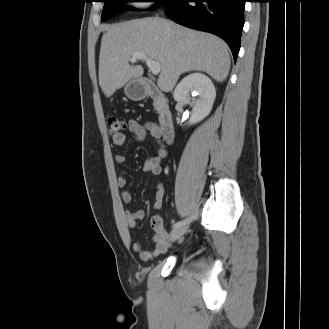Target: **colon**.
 Here are the masks:
<instances>
[{"mask_svg":"<svg viewBox=\"0 0 329 329\" xmlns=\"http://www.w3.org/2000/svg\"><path fill=\"white\" fill-rule=\"evenodd\" d=\"M109 132L112 136H117L124 133L125 124L117 117H110L108 120Z\"/></svg>","mask_w":329,"mask_h":329,"instance_id":"obj_1","label":"colon"}]
</instances>
